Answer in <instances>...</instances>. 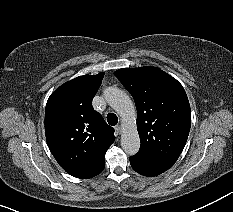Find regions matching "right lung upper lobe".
Returning a JSON list of instances; mask_svg holds the SVG:
<instances>
[{
  "instance_id": "1",
  "label": "right lung upper lobe",
  "mask_w": 233,
  "mask_h": 212,
  "mask_svg": "<svg viewBox=\"0 0 233 212\" xmlns=\"http://www.w3.org/2000/svg\"><path fill=\"white\" fill-rule=\"evenodd\" d=\"M104 72L84 75L58 87L45 110V134L59 165L77 178H92L105 167L114 129L92 107Z\"/></svg>"
}]
</instances>
